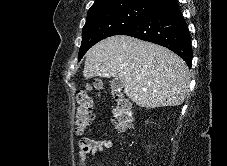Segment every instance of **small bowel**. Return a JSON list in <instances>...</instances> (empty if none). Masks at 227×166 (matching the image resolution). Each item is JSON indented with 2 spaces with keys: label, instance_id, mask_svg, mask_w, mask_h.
Listing matches in <instances>:
<instances>
[{
  "label": "small bowel",
  "instance_id": "small-bowel-1",
  "mask_svg": "<svg viewBox=\"0 0 227 166\" xmlns=\"http://www.w3.org/2000/svg\"><path fill=\"white\" fill-rule=\"evenodd\" d=\"M112 146L108 139H92L84 137L79 141L78 161L80 166H87L90 156L97 155Z\"/></svg>",
  "mask_w": 227,
  "mask_h": 166
}]
</instances>
